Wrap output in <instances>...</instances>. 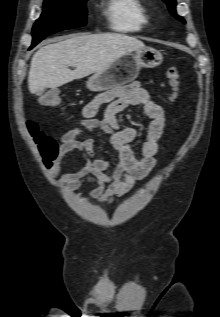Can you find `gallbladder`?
Segmentation results:
<instances>
[{"instance_id":"gallbladder-1","label":"gallbladder","mask_w":220,"mask_h":317,"mask_svg":"<svg viewBox=\"0 0 220 317\" xmlns=\"http://www.w3.org/2000/svg\"><path fill=\"white\" fill-rule=\"evenodd\" d=\"M43 93H44V90H39L36 94L40 96V95H42Z\"/></svg>"}]
</instances>
